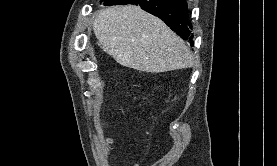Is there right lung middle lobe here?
Here are the masks:
<instances>
[{"label":"right lung middle lobe","instance_id":"right-lung-middle-lobe-1","mask_svg":"<svg viewBox=\"0 0 277 166\" xmlns=\"http://www.w3.org/2000/svg\"><path fill=\"white\" fill-rule=\"evenodd\" d=\"M117 0H105L104 5H108L112 2H116Z\"/></svg>","mask_w":277,"mask_h":166}]
</instances>
